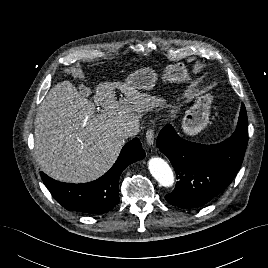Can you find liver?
Here are the masks:
<instances>
[{
  "instance_id": "obj_1",
  "label": "liver",
  "mask_w": 268,
  "mask_h": 268,
  "mask_svg": "<svg viewBox=\"0 0 268 268\" xmlns=\"http://www.w3.org/2000/svg\"><path fill=\"white\" fill-rule=\"evenodd\" d=\"M126 96L117 101L114 88ZM157 104L155 97L127 85L101 83L94 102L69 81L55 85L38 108L34 154L41 170L69 183L93 181L106 173L124 144L119 133L139 125L141 112ZM95 105L103 107L95 113Z\"/></svg>"
}]
</instances>
